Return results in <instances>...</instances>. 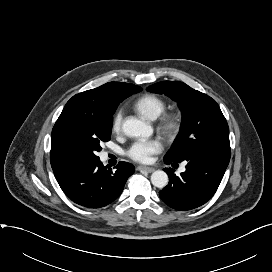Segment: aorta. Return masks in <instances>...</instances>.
<instances>
[{
	"label": "aorta",
	"instance_id": "aorta-1",
	"mask_svg": "<svg viewBox=\"0 0 272 272\" xmlns=\"http://www.w3.org/2000/svg\"><path fill=\"white\" fill-rule=\"evenodd\" d=\"M123 132L129 137H150L152 127L134 117L127 118L122 125ZM169 178L166 172L157 170L151 175V183L157 188H163L168 184Z\"/></svg>",
	"mask_w": 272,
	"mask_h": 272
}]
</instances>
